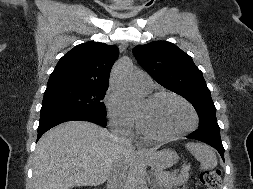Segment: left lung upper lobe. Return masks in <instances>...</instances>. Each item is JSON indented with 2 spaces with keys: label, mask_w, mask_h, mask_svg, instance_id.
Returning <instances> with one entry per match:
<instances>
[{
  "label": "left lung upper lobe",
  "mask_w": 253,
  "mask_h": 189,
  "mask_svg": "<svg viewBox=\"0 0 253 189\" xmlns=\"http://www.w3.org/2000/svg\"><path fill=\"white\" fill-rule=\"evenodd\" d=\"M133 54L142 68L160 85L185 97L199 116V128H219L216 108L202 72L175 44L155 41L139 45Z\"/></svg>",
  "instance_id": "1"
}]
</instances>
